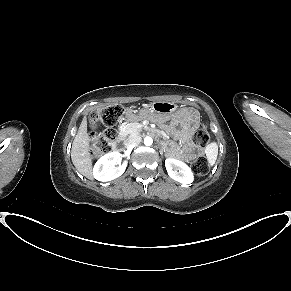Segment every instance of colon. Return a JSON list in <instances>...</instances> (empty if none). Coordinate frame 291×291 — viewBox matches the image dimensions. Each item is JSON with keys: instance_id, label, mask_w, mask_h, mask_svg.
I'll list each match as a JSON object with an SVG mask.
<instances>
[{"instance_id": "5ec220e1", "label": "colon", "mask_w": 291, "mask_h": 291, "mask_svg": "<svg viewBox=\"0 0 291 291\" xmlns=\"http://www.w3.org/2000/svg\"><path fill=\"white\" fill-rule=\"evenodd\" d=\"M124 108L120 105H110L97 110L94 119L103 128L102 132L91 134V154L100 157L110 153L117 141V131L114 126L123 119ZM209 141V132L205 124L200 125L194 135L193 143L197 147H204ZM193 170L199 175H204L208 171V162L204 156H198L193 162Z\"/></svg>"}]
</instances>
